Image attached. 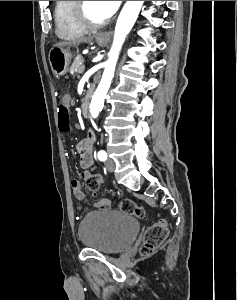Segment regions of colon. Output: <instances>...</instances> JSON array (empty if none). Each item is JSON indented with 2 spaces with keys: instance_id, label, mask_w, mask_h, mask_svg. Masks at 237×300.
Segmentation results:
<instances>
[{
  "instance_id": "5ec220e1",
  "label": "colon",
  "mask_w": 237,
  "mask_h": 300,
  "mask_svg": "<svg viewBox=\"0 0 237 300\" xmlns=\"http://www.w3.org/2000/svg\"><path fill=\"white\" fill-rule=\"evenodd\" d=\"M58 125L61 132L68 133L71 131L69 106L61 102L58 110ZM85 187L87 191L94 193L98 190L102 183V178L93 173H87L84 176ZM119 208L122 212L143 218L145 216L144 209L136 202L123 199L119 203ZM168 236V228L165 221L161 220L152 224L145 232L143 243L141 245V253L149 255L160 247Z\"/></svg>"
}]
</instances>
